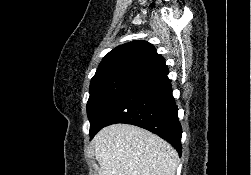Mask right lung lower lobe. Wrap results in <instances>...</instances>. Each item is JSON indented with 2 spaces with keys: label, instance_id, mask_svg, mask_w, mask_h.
I'll return each mask as SVG.
<instances>
[{
  "label": "right lung lower lobe",
  "instance_id": "obj_1",
  "mask_svg": "<svg viewBox=\"0 0 251 175\" xmlns=\"http://www.w3.org/2000/svg\"><path fill=\"white\" fill-rule=\"evenodd\" d=\"M168 73L130 85L103 114L97 132L115 123L136 125L168 141L181 155L182 127Z\"/></svg>",
  "mask_w": 251,
  "mask_h": 175
}]
</instances>
